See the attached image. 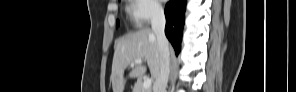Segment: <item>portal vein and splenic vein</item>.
Masks as SVG:
<instances>
[{
    "instance_id": "18ae733b",
    "label": "portal vein and splenic vein",
    "mask_w": 296,
    "mask_h": 92,
    "mask_svg": "<svg viewBox=\"0 0 296 92\" xmlns=\"http://www.w3.org/2000/svg\"><path fill=\"white\" fill-rule=\"evenodd\" d=\"M134 64H142V59H136L133 63H131V66H134ZM152 80L150 78H147L143 82V87L145 89H148L151 87Z\"/></svg>"
}]
</instances>
